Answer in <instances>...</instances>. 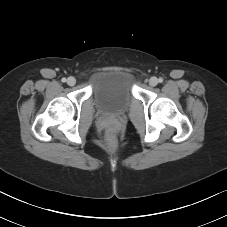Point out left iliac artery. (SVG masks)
<instances>
[{
    "label": "left iliac artery",
    "instance_id": "44dca946",
    "mask_svg": "<svg viewBox=\"0 0 227 227\" xmlns=\"http://www.w3.org/2000/svg\"><path fill=\"white\" fill-rule=\"evenodd\" d=\"M158 82H159V83H162V82H163V79L160 77V78L158 79Z\"/></svg>",
    "mask_w": 227,
    "mask_h": 227
}]
</instances>
